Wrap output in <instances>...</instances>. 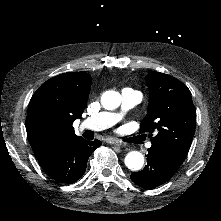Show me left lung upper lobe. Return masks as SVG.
<instances>
[{"mask_svg": "<svg viewBox=\"0 0 221 221\" xmlns=\"http://www.w3.org/2000/svg\"><path fill=\"white\" fill-rule=\"evenodd\" d=\"M146 83L149 106L140 132L148 133L152 145L163 147L176 161L183 163L196 126L191 92L176 78L160 72L150 71Z\"/></svg>", "mask_w": 221, "mask_h": 221, "instance_id": "obj_1", "label": "left lung upper lobe"}]
</instances>
